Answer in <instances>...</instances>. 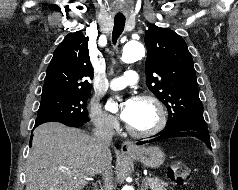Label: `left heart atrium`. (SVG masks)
Listing matches in <instances>:
<instances>
[{
    "instance_id": "obj_1",
    "label": "left heart atrium",
    "mask_w": 238,
    "mask_h": 190,
    "mask_svg": "<svg viewBox=\"0 0 238 190\" xmlns=\"http://www.w3.org/2000/svg\"><path fill=\"white\" fill-rule=\"evenodd\" d=\"M136 100L133 98L127 99L123 102L120 111V117L123 121L129 122L132 118L134 109H135Z\"/></svg>"
}]
</instances>
